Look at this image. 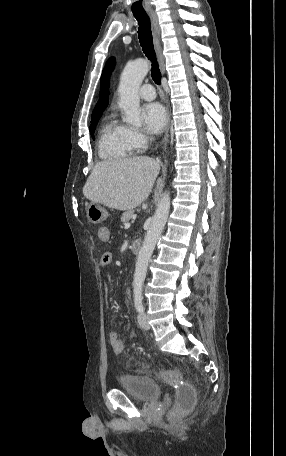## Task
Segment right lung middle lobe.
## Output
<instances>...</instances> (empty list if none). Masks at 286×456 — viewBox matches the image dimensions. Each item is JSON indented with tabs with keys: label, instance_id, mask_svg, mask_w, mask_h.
Listing matches in <instances>:
<instances>
[{
	"label": "right lung middle lobe",
	"instance_id": "right-lung-middle-lobe-1",
	"mask_svg": "<svg viewBox=\"0 0 286 456\" xmlns=\"http://www.w3.org/2000/svg\"><path fill=\"white\" fill-rule=\"evenodd\" d=\"M98 120H99V118H97V119H95V120H92V121H91L90 128H89V129H90V134H91V136L93 137V139H94V130H95V127H96V125H97V123H98Z\"/></svg>",
	"mask_w": 286,
	"mask_h": 456
}]
</instances>
